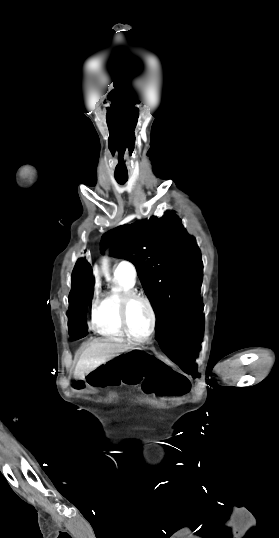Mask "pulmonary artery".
<instances>
[{
  "label": "pulmonary artery",
  "instance_id": "pulmonary-artery-1",
  "mask_svg": "<svg viewBox=\"0 0 279 538\" xmlns=\"http://www.w3.org/2000/svg\"><path fill=\"white\" fill-rule=\"evenodd\" d=\"M114 274L126 278L129 282L134 283L136 280L135 267L128 261H119L114 265Z\"/></svg>",
  "mask_w": 279,
  "mask_h": 538
}]
</instances>
